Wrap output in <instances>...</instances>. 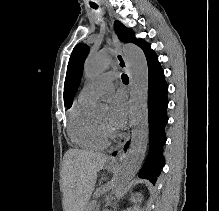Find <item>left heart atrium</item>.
I'll return each mask as SVG.
<instances>
[{
  "mask_svg": "<svg viewBox=\"0 0 219 211\" xmlns=\"http://www.w3.org/2000/svg\"><path fill=\"white\" fill-rule=\"evenodd\" d=\"M108 104L110 126L115 130H120L127 120V103L121 95H114L109 99Z\"/></svg>",
  "mask_w": 219,
  "mask_h": 211,
  "instance_id": "1",
  "label": "left heart atrium"
}]
</instances>
